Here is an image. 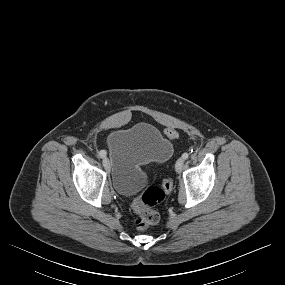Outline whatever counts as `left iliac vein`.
I'll return each instance as SVG.
<instances>
[{"mask_svg": "<svg viewBox=\"0 0 285 285\" xmlns=\"http://www.w3.org/2000/svg\"><path fill=\"white\" fill-rule=\"evenodd\" d=\"M184 165V159L181 157L176 161L175 170L180 173Z\"/></svg>", "mask_w": 285, "mask_h": 285, "instance_id": "left-iliac-vein-1", "label": "left iliac vein"}]
</instances>
